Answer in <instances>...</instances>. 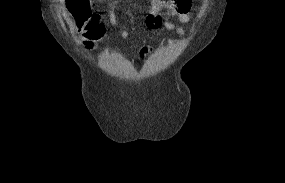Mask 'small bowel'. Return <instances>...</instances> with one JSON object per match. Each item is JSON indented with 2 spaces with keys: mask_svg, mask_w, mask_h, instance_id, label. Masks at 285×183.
Returning <instances> with one entry per match:
<instances>
[{
  "mask_svg": "<svg viewBox=\"0 0 285 183\" xmlns=\"http://www.w3.org/2000/svg\"><path fill=\"white\" fill-rule=\"evenodd\" d=\"M190 0H187V2H175L174 5H167L161 0H152L151 2V10L150 14L146 18V25L150 29H159L161 27L176 32L179 36H183L185 31L181 25L175 24L172 21H169L167 19H164L162 15H165L170 18H175L181 23H189L191 21V15L189 12H183L177 9V4L190 7L191 4ZM109 23L111 26L116 27L118 25V21L115 15L114 7L110 10L109 14ZM120 36L122 39H127L130 36V31L127 29H124L121 31ZM150 52V48L147 46L142 47L140 54L141 56L146 55Z\"/></svg>",
  "mask_w": 285,
  "mask_h": 183,
  "instance_id": "obj_1",
  "label": "small bowel"
}]
</instances>
